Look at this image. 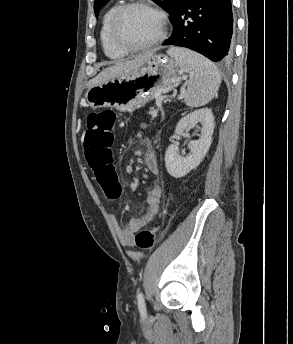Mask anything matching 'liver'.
Segmentation results:
<instances>
[{"label": "liver", "mask_w": 293, "mask_h": 344, "mask_svg": "<svg viewBox=\"0 0 293 344\" xmlns=\"http://www.w3.org/2000/svg\"><path fill=\"white\" fill-rule=\"evenodd\" d=\"M153 54V52H147L134 59L118 61L114 65L103 69L96 77L89 80L86 86L90 89L114 78L128 75L139 69Z\"/></svg>", "instance_id": "1"}]
</instances>
